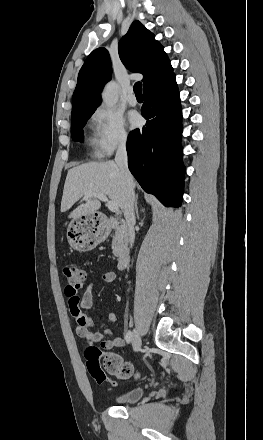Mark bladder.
Here are the masks:
<instances>
[{"instance_id":"obj_1","label":"bladder","mask_w":263,"mask_h":440,"mask_svg":"<svg viewBox=\"0 0 263 440\" xmlns=\"http://www.w3.org/2000/svg\"><path fill=\"white\" fill-rule=\"evenodd\" d=\"M143 394L144 389L142 387H134L118 396L116 400L120 403L129 404L140 400Z\"/></svg>"}]
</instances>
